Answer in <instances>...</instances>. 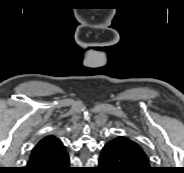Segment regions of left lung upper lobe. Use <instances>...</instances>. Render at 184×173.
<instances>
[{
	"mask_svg": "<svg viewBox=\"0 0 184 173\" xmlns=\"http://www.w3.org/2000/svg\"><path fill=\"white\" fill-rule=\"evenodd\" d=\"M130 145L133 148V150L147 163L149 164L148 156L146 155L143 148L138 144L137 142L130 140ZM150 165V164H149Z\"/></svg>",
	"mask_w": 184,
	"mask_h": 173,
	"instance_id": "1",
	"label": "left lung upper lobe"
}]
</instances>
